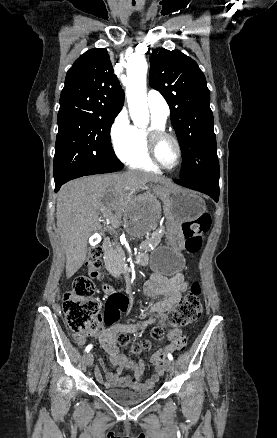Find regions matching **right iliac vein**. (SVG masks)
Returning <instances> with one entry per match:
<instances>
[{"label": "right iliac vein", "instance_id": "obj_1", "mask_svg": "<svg viewBox=\"0 0 277 438\" xmlns=\"http://www.w3.org/2000/svg\"><path fill=\"white\" fill-rule=\"evenodd\" d=\"M85 361H86V365H87L88 367L92 366L93 361H94V357H93V354H92L91 352H89V353L86 355Z\"/></svg>", "mask_w": 277, "mask_h": 438}]
</instances>
